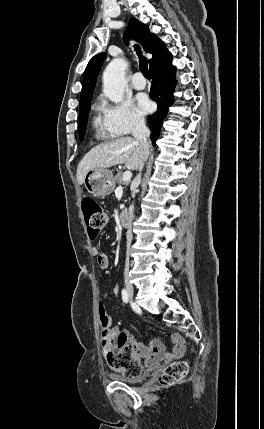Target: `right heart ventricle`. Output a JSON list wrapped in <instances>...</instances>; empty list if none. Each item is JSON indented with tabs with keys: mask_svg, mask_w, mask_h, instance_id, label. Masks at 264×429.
<instances>
[{
	"mask_svg": "<svg viewBox=\"0 0 264 429\" xmlns=\"http://www.w3.org/2000/svg\"><path fill=\"white\" fill-rule=\"evenodd\" d=\"M93 125L96 130V137L99 139H110L114 137L112 133H110L103 122V119L100 116H95L93 119Z\"/></svg>",
	"mask_w": 264,
	"mask_h": 429,
	"instance_id": "1",
	"label": "right heart ventricle"
}]
</instances>
